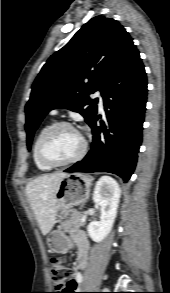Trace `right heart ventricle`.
Wrapping results in <instances>:
<instances>
[{"label":"right heart ventricle","mask_w":170,"mask_h":293,"mask_svg":"<svg viewBox=\"0 0 170 293\" xmlns=\"http://www.w3.org/2000/svg\"><path fill=\"white\" fill-rule=\"evenodd\" d=\"M50 126H51V124H47V125L43 126V127L40 129L38 135L36 136V139H35V141H34V144H33V159H34V162H35L36 167H37L39 170H41V171H49V170L52 169L51 167H48V166L42 164V163L39 161V159H38V157H37V152H36V151H37V144H38L39 138L41 137V135L43 134V132H44L47 128H49Z\"/></svg>","instance_id":"e07e8e85"}]
</instances>
